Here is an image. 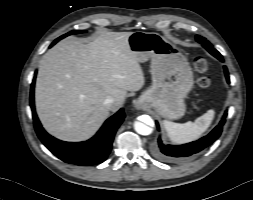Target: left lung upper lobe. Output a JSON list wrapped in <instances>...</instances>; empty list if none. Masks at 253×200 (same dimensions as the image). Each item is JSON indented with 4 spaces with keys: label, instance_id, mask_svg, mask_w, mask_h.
Returning <instances> with one entry per match:
<instances>
[{
    "label": "left lung upper lobe",
    "instance_id": "left-lung-upper-lobe-1",
    "mask_svg": "<svg viewBox=\"0 0 253 200\" xmlns=\"http://www.w3.org/2000/svg\"><path fill=\"white\" fill-rule=\"evenodd\" d=\"M196 40L198 42H200L202 44V46L209 52L211 53L213 56H215L216 58H218L219 60H222V56L221 54L213 48V46L211 45L210 42H208L205 38L201 37V36H196Z\"/></svg>",
    "mask_w": 253,
    "mask_h": 200
}]
</instances>
